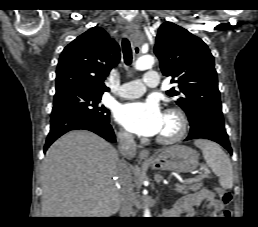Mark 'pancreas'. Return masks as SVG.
<instances>
[{"label": "pancreas", "instance_id": "pancreas-1", "mask_svg": "<svg viewBox=\"0 0 258 227\" xmlns=\"http://www.w3.org/2000/svg\"><path fill=\"white\" fill-rule=\"evenodd\" d=\"M206 175L203 174L201 177H199V180L195 183L189 184V185H183V186H179L176 191L178 193H182V194H188L189 191H197L199 190L203 184L201 182V180L205 177Z\"/></svg>", "mask_w": 258, "mask_h": 227}]
</instances>
